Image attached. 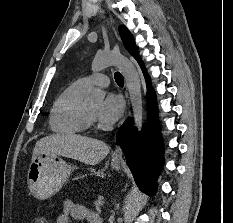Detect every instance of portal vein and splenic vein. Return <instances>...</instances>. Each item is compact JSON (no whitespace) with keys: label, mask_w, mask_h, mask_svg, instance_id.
Masks as SVG:
<instances>
[{"label":"portal vein and splenic vein","mask_w":233,"mask_h":223,"mask_svg":"<svg viewBox=\"0 0 233 223\" xmlns=\"http://www.w3.org/2000/svg\"><path fill=\"white\" fill-rule=\"evenodd\" d=\"M94 205L95 206H103V201H95Z\"/></svg>","instance_id":"portal-vein-and-splenic-vein-1"}]
</instances>
